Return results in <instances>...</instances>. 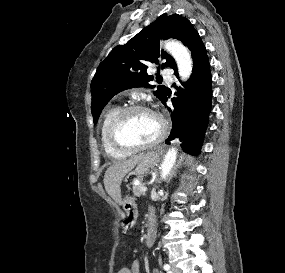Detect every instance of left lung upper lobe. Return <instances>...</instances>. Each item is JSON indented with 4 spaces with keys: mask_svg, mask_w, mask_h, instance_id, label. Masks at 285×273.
<instances>
[{
    "mask_svg": "<svg viewBox=\"0 0 285 273\" xmlns=\"http://www.w3.org/2000/svg\"><path fill=\"white\" fill-rule=\"evenodd\" d=\"M194 31L187 18L178 14H163L125 45L115 47L100 64L91 82L94 123H97L102 109L117 93L132 87H155L148 84L153 80L152 76L146 74L150 64H159L160 60H165L162 68H173L176 65L171 55L160 51V39L175 38L187 46ZM154 95L163 101L166 88L158 86Z\"/></svg>",
    "mask_w": 285,
    "mask_h": 273,
    "instance_id": "left-lung-upper-lobe-1",
    "label": "left lung upper lobe"
}]
</instances>
